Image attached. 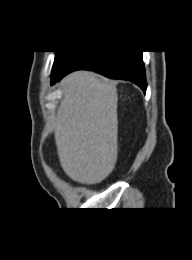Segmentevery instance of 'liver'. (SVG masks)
Wrapping results in <instances>:
<instances>
[{
  "instance_id": "6515ba94",
  "label": "liver",
  "mask_w": 192,
  "mask_h": 260,
  "mask_svg": "<svg viewBox=\"0 0 192 260\" xmlns=\"http://www.w3.org/2000/svg\"><path fill=\"white\" fill-rule=\"evenodd\" d=\"M63 99L54 136L64 172L74 181L104 180L117 160V91L115 84L90 71H75L61 82Z\"/></svg>"
}]
</instances>
